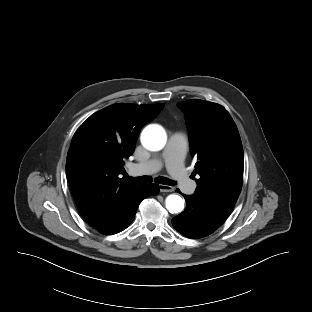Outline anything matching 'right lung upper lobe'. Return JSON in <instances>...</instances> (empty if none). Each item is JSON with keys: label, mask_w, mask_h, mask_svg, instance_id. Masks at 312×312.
<instances>
[{"label": "right lung upper lobe", "mask_w": 312, "mask_h": 312, "mask_svg": "<svg viewBox=\"0 0 312 312\" xmlns=\"http://www.w3.org/2000/svg\"><path fill=\"white\" fill-rule=\"evenodd\" d=\"M163 107L114 104L91 115L74 134L66 174L75 203L93 228L114 220L139 188L119 175L141 128Z\"/></svg>", "instance_id": "obj_1"}]
</instances>
